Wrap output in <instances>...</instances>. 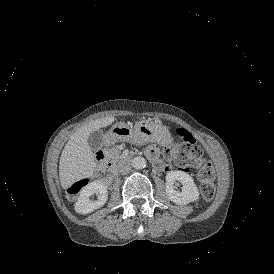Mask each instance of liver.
<instances>
[{
  "label": "liver",
  "mask_w": 274,
  "mask_h": 274,
  "mask_svg": "<svg viewBox=\"0 0 274 274\" xmlns=\"http://www.w3.org/2000/svg\"><path fill=\"white\" fill-rule=\"evenodd\" d=\"M113 122V117L96 119L78 129L68 140L60 157L59 177L63 188L89 177L96 167V159L87 142L88 136L95 130Z\"/></svg>",
  "instance_id": "obj_1"
}]
</instances>
